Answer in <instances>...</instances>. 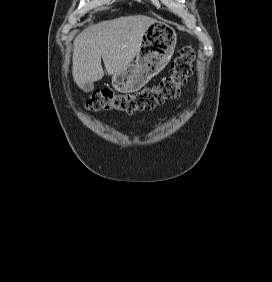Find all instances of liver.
I'll list each match as a JSON object with an SVG mask.
<instances>
[{"instance_id":"6515ba94","label":"liver","mask_w":272,"mask_h":282,"mask_svg":"<svg viewBox=\"0 0 272 282\" xmlns=\"http://www.w3.org/2000/svg\"><path fill=\"white\" fill-rule=\"evenodd\" d=\"M157 21L144 15L124 16L91 25L74 40L72 74L83 89L104 76L123 71L135 58L146 29Z\"/></svg>"}]
</instances>
